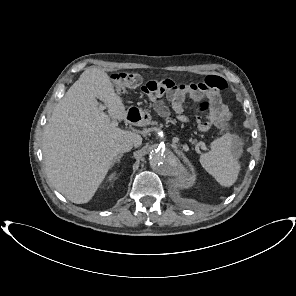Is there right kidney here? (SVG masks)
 <instances>
[{
  "mask_svg": "<svg viewBox=\"0 0 296 296\" xmlns=\"http://www.w3.org/2000/svg\"><path fill=\"white\" fill-rule=\"evenodd\" d=\"M115 175H116V173H115V172H114V173H112V174L109 176V180L111 181L112 179H114Z\"/></svg>",
  "mask_w": 296,
  "mask_h": 296,
  "instance_id": "1",
  "label": "right kidney"
}]
</instances>
